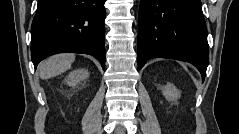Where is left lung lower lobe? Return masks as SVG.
I'll use <instances>...</instances> for the list:
<instances>
[{"instance_id":"left-lung-lower-lobe-1","label":"left lung lower lobe","mask_w":239,"mask_h":134,"mask_svg":"<svg viewBox=\"0 0 239 134\" xmlns=\"http://www.w3.org/2000/svg\"><path fill=\"white\" fill-rule=\"evenodd\" d=\"M151 58L190 62L204 80L209 49L201 0H141L138 70Z\"/></svg>"}]
</instances>
